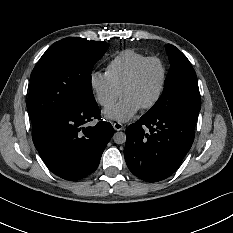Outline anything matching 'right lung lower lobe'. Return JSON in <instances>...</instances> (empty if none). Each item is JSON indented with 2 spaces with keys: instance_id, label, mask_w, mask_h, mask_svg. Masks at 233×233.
<instances>
[{
  "instance_id": "1",
  "label": "right lung lower lobe",
  "mask_w": 233,
  "mask_h": 233,
  "mask_svg": "<svg viewBox=\"0 0 233 233\" xmlns=\"http://www.w3.org/2000/svg\"><path fill=\"white\" fill-rule=\"evenodd\" d=\"M100 119L94 99L78 101L67 112L32 123V138L47 167L57 176L80 180L96 170L107 143L113 136L110 123Z\"/></svg>"
}]
</instances>
